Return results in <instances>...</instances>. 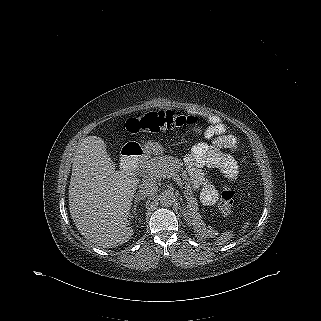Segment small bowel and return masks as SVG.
I'll use <instances>...</instances> for the list:
<instances>
[{
  "mask_svg": "<svg viewBox=\"0 0 321 321\" xmlns=\"http://www.w3.org/2000/svg\"><path fill=\"white\" fill-rule=\"evenodd\" d=\"M224 132V126L218 124L216 126L209 127L205 135L207 138H212ZM234 143L232 136H220L218 137L212 146L206 144H199L195 148V152L201 154L205 159V164L211 168L219 169L226 178L234 179L237 175V165L228 156L222 154L220 148L222 146L230 145ZM215 201L214 197L205 194L203 196V202L205 204H211Z\"/></svg>",
  "mask_w": 321,
  "mask_h": 321,
  "instance_id": "c3829d8e",
  "label": "small bowel"
}]
</instances>
